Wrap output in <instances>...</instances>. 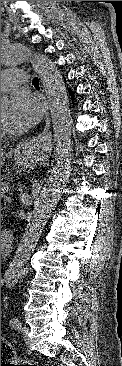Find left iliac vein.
<instances>
[{"label":"left iliac vein","instance_id":"1","mask_svg":"<svg viewBox=\"0 0 122 366\" xmlns=\"http://www.w3.org/2000/svg\"><path fill=\"white\" fill-rule=\"evenodd\" d=\"M20 331L22 332L24 339L28 340L27 336L30 333V328L28 326H21Z\"/></svg>","mask_w":122,"mask_h":366}]
</instances>
